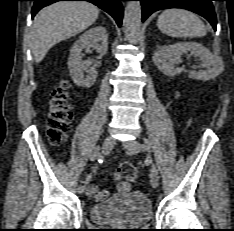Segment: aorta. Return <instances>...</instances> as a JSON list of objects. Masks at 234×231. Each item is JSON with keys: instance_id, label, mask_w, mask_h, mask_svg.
I'll return each mask as SVG.
<instances>
[{"instance_id": "obj_1", "label": "aorta", "mask_w": 234, "mask_h": 231, "mask_svg": "<svg viewBox=\"0 0 234 231\" xmlns=\"http://www.w3.org/2000/svg\"><path fill=\"white\" fill-rule=\"evenodd\" d=\"M123 30L130 43L138 42L141 31V3L139 1L127 3L123 17Z\"/></svg>"}]
</instances>
